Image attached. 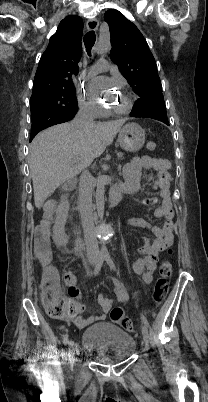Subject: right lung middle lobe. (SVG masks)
I'll return each instance as SVG.
<instances>
[{"mask_svg": "<svg viewBox=\"0 0 208 402\" xmlns=\"http://www.w3.org/2000/svg\"><path fill=\"white\" fill-rule=\"evenodd\" d=\"M32 119L38 116H62L78 110L73 81H63L56 85L38 89L31 96Z\"/></svg>", "mask_w": 208, "mask_h": 402, "instance_id": "right-lung-middle-lobe-1", "label": "right lung middle lobe"}]
</instances>
